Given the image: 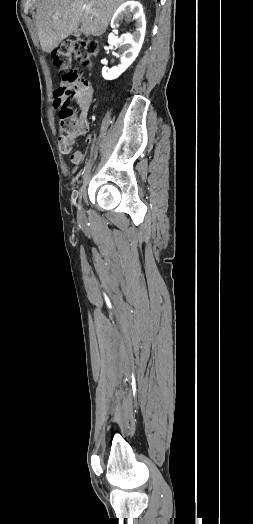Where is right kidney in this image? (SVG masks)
<instances>
[{
	"instance_id": "1",
	"label": "right kidney",
	"mask_w": 253,
	"mask_h": 524,
	"mask_svg": "<svg viewBox=\"0 0 253 524\" xmlns=\"http://www.w3.org/2000/svg\"><path fill=\"white\" fill-rule=\"evenodd\" d=\"M124 18L135 20V31L123 34L120 38L112 33L109 35L108 43L119 48L121 65L111 69L103 67L102 76L106 80L119 77L133 63L144 41L146 21L142 5L137 1H128L121 5L112 17L111 27L116 28Z\"/></svg>"
}]
</instances>
